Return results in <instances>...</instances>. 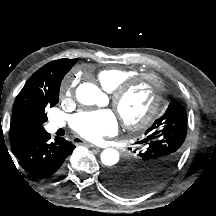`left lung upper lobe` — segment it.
<instances>
[{
	"mask_svg": "<svg viewBox=\"0 0 216 216\" xmlns=\"http://www.w3.org/2000/svg\"><path fill=\"white\" fill-rule=\"evenodd\" d=\"M187 112L184 106L170 103L138 141V154L126 162L129 172L118 186L128 196L140 195L155 187L174 169L183 151L187 135ZM119 167L113 169L116 170Z\"/></svg>",
	"mask_w": 216,
	"mask_h": 216,
	"instance_id": "obj_1",
	"label": "left lung upper lobe"
}]
</instances>
